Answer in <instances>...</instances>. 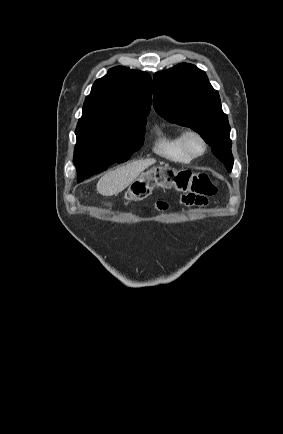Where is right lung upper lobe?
Here are the masks:
<instances>
[{"label":"right lung upper lobe","instance_id":"right-lung-upper-lobe-1","mask_svg":"<svg viewBox=\"0 0 283 434\" xmlns=\"http://www.w3.org/2000/svg\"><path fill=\"white\" fill-rule=\"evenodd\" d=\"M151 97L152 79L148 73L124 66L111 68L106 76L93 84L77 126L126 125L146 121Z\"/></svg>","mask_w":283,"mask_h":434}]
</instances>
